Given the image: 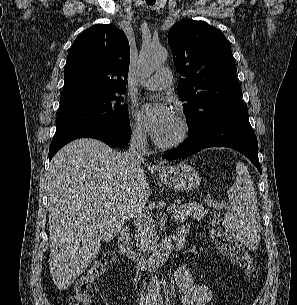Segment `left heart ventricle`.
Instances as JSON below:
<instances>
[{
	"mask_svg": "<svg viewBox=\"0 0 297 305\" xmlns=\"http://www.w3.org/2000/svg\"><path fill=\"white\" fill-rule=\"evenodd\" d=\"M177 131H178V123L175 118L173 124L168 129V131L165 134H163L159 139L160 140H169L177 133Z\"/></svg>",
	"mask_w": 297,
	"mask_h": 305,
	"instance_id": "left-heart-ventricle-1",
	"label": "left heart ventricle"
}]
</instances>
